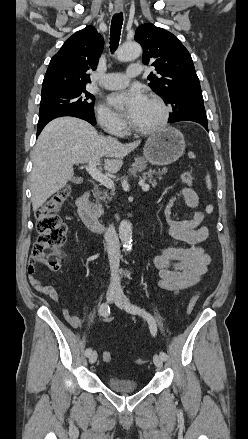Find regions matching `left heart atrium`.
Segmentation results:
<instances>
[{"label":"left heart atrium","mask_w":248,"mask_h":439,"mask_svg":"<svg viewBox=\"0 0 248 439\" xmlns=\"http://www.w3.org/2000/svg\"><path fill=\"white\" fill-rule=\"evenodd\" d=\"M146 97L138 88L111 94L109 103L123 108L128 118L135 119L146 102Z\"/></svg>","instance_id":"obj_1"}]
</instances>
